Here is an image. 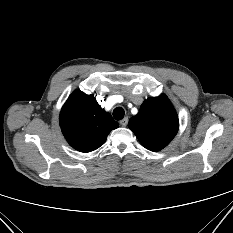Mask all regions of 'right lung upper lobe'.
I'll return each instance as SVG.
<instances>
[{
	"mask_svg": "<svg viewBox=\"0 0 233 233\" xmlns=\"http://www.w3.org/2000/svg\"><path fill=\"white\" fill-rule=\"evenodd\" d=\"M60 126L68 143L80 152L103 145L111 130L119 125L101 108L93 94L75 90L60 113Z\"/></svg>",
	"mask_w": 233,
	"mask_h": 233,
	"instance_id": "right-lung-upper-lobe-1",
	"label": "right lung upper lobe"
}]
</instances>
